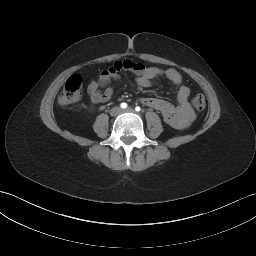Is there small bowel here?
I'll use <instances>...</instances> for the list:
<instances>
[{"label":"small bowel","mask_w":256,"mask_h":256,"mask_svg":"<svg viewBox=\"0 0 256 256\" xmlns=\"http://www.w3.org/2000/svg\"><path fill=\"white\" fill-rule=\"evenodd\" d=\"M132 72L135 74V82L138 87L146 88L151 85L153 79L165 76L178 87V105H174L167 100L143 97L141 102L150 108L158 111L165 123L175 129L186 128L194 119V112L189 104V88L183 84L181 74L174 68L163 70L158 67L146 66L141 62L130 60L117 61L112 66L102 70L97 80H93L87 87V93L92 103L108 102L113 96V88L106 87L111 80H118L121 72ZM104 90H102V88Z\"/></svg>","instance_id":"obj_1"}]
</instances>
